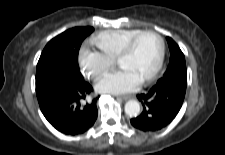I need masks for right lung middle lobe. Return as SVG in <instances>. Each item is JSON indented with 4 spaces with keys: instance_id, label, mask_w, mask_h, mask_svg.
Here are the masks:
<instances>
[{
    "instance_id": "1",
    "label": "right lung middle lobe",
    "mask_w": 225,
    "mask_h": 155,
    "mask_svg": "<svg viewBox=\"0 0 225 155\" xmlns=\"http://www.w3.org/2000/svg\"><path fill=\"white\" fill-rule=\"evenodd\" d=\"M93 27H75L56 36L45 46L36 68V90L66 70L79 71L78 53Z\"/></svg>"
}]
</instances>
